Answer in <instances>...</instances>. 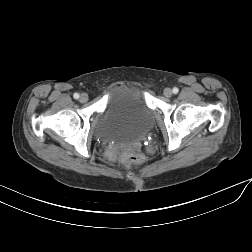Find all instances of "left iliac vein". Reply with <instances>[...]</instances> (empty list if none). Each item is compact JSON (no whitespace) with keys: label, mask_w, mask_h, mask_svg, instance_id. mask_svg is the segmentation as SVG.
I'll return each instance as SVG.
<instances>
[{"label":"left iliac vein","mask_w":252,"mask_h":252,"mask_svg":"<svg viewBox=\"0 0 252 252\" xmlns=\"http://www.w3.org/2000/svg\"><path fill=\"white\" fill-rule=\"evenodd\" d=\"M163 94L166 97H171L173 92H172V90L170 88H165L164 91H163Z\"/></svg>","instance_id":"left-iliac-vein-1"}]
</instances>
